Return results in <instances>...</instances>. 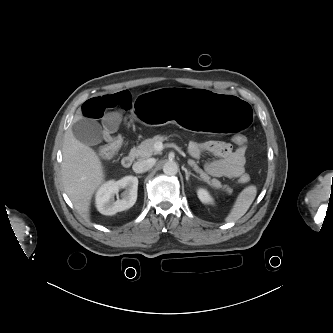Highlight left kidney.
<instances>
[{
	"instance_id": "obj_1",
	"label": "left kidney",
	"mask_w": 333,
	"mask_h": 333,
	"mask_svg": "<svg viewBox=\"0 0 333 333\" xmlns=\"http://www.w3.org/2000/svg\"><path fill=\"white\" fill-rule=\"evenodd\" d=\"M197 193H198V198L200 199V201L202 203H205V204H212L213 203V199L209 195L207 190H205L203 188H200V189H198Z\"/></svg>"
}]
</instances>
